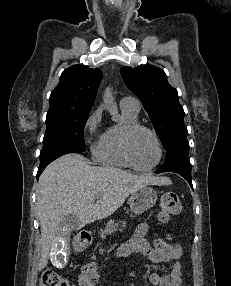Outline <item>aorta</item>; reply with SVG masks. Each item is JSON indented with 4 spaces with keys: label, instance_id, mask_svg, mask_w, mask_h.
Returning <instances> with one entry per match:
<instances>
[{
    "label": "aorta",
    "instance_id": "1",
    "mask_svg": "<svg viewBox=\"0 0 231 286\" xmlns=\"http://www.w3.org/2000/svg\"><path fill=\"white\" fill-rule=\"evenodd\" d=\"M103 101H104L106 110L112 116V120L117 121L118 120L117 106H116L115 99L113 97V94L110 88H107L105 90L104 95H103Z\"/></svg>",
    "mask_w": 231,
    "mask_h": 286
}]
</instances>
